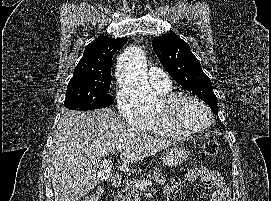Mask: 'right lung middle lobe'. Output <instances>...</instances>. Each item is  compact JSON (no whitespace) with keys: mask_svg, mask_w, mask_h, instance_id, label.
I'll return each instance as SVG.
<instances>
[{"mask_svg":"<svg viewBox=\"0 0 271 201\" xmlns=\"http://www.w3.org/2000/svg\"><path fill=\"white\" fill-rule=\"evenodd\" d=\"M111 80V74L73 75L64 106L70 110H93L111 105L114 102L109 93Z\"/></svg>","mask_w":271,"mask_h":201,"instance_id":"1","label":"right lung middle lobe"}]
</instances>
